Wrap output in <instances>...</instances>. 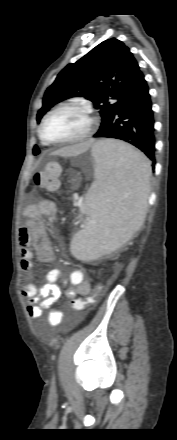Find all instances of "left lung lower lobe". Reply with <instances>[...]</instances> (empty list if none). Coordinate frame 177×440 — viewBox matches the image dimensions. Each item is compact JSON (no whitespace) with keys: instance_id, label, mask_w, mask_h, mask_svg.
Returning a JSON list of instances; mask_svg holds the SVG:
<instances>
[{"instance_id":"0a47b994","label":"left lung lower lobe","mask_w":177,"mask_h":440,"mask_svg":"<svg viewBox=\"0 0 177 440\" xmlns=\"http://www.w3.org/2000/svg\"><path fill=\"white\" fill-rule=\"evenodd\" d=\"M93 137L116 138L134 145L152 161L154 168V117L149 88L143 74Z\"/></svg>"}]
</instances>
